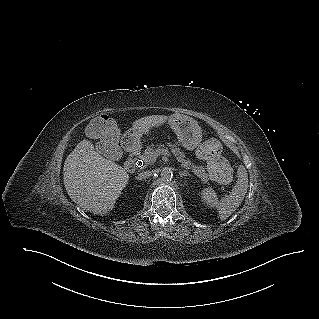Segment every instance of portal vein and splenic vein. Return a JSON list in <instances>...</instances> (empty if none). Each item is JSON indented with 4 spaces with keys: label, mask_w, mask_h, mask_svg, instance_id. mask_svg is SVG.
Listing matches in <instances>:
<instances>
[{
    "label": "portal vein and splenic vein",
    "mask_w": 319,
    "mask_h": 319,
    "mask_svg": "<svg viewBox=\"0 0 319 319\" xmlns=\"http://www.w3.org/2000/svg\"><path fill=\"white\" fill-rule=\"evenodd\" d=\"M159 155L171 156V154L168 152V150H157V151L155 152V154L153 155V159L156 160V158H157Z\"/></svg>",
    "instance_id": "1"
}]
</instances>
